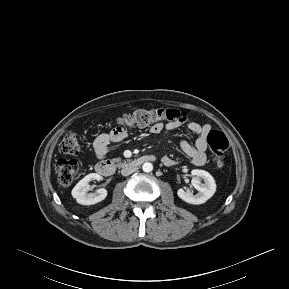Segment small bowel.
<instances>
[{
    "label": "small bowel",
    "mask_w": 289,
    "mask_h": 289,
    "mask_svg": "<svg viewBox=\"0 0 289 289\" xmlns=\"http://www.w3.org/2000/svg\"><path fill=\"white\" fill-rule=\"evenodd\" d=\"M187 119L183 117L180 121L163 124L162 122L155 123L150 127V133L160 134L163 133L168 136L173 130L185 123ZM212 130L209 124H200L191 121L187 124V131L189 134L197 135V139L194 143H191L186 137L180 142L181 151L191 159L192 163L196 166H203L207 164V148L208 141L207 136ZM128 133L125 128L116 127L110 133L100 134L93 143V148L96 156L99 159L105 158L107 154L108 147L119 143L126 139ZM162 162L165 166H173L175 160L169 156H164Z\"/></svg>",
    "instance_id": "small-bowel-1"
}]
</instances>
